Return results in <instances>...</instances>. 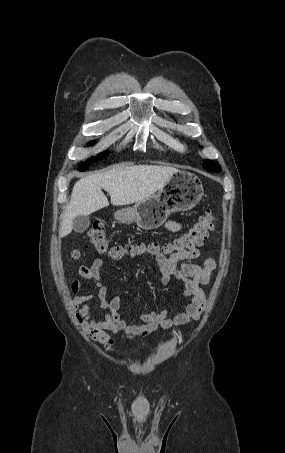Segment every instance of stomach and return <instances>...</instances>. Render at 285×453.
<instances>
[{
  "label": "stomach",
  "instance_id": "0dacf381",
  "mask_svg": "<svg viewBox=\"0 0 285 453\" xmlns=\"http://www.w3.org/2000/svg\"><path fill=\"white\" fill-rule=\"evenodd\" d=\"M203 195L200 179L187 171L173 174L156 195H152L133 207L115 212V219L122 224L136 222L145 229H156L165 223L173 212L187 211L195 207Z\"/></svg>",
  "mask_w": 285,
  "mask_h": 453
}]
</instances>
